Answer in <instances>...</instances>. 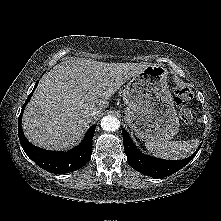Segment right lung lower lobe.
<instances>
[{"label":"right lung lower lobe","instance_id":"1","mask_svg":"<svg viewBox=\"0 0 221 221\" xmlns=\"http://www.w3.org/2000/svg\"><path fill=\"white\" fill-rule=\"evenodd\" d=\"M36 82L34 89L28 96L25 104L22 107L18 119V135L22 148L27 156L33 160L42 169L51 173H68L77 170L84 166L91 158L92 154V139L96 126L93 125L87 132L84 140L74 149L67 152H53L38 148L32 145L24 136L21 121L25 105L29 102L35 88L38 85Z\"/></svg>","mask_w":221,"mask_h":221}]
</instances>
